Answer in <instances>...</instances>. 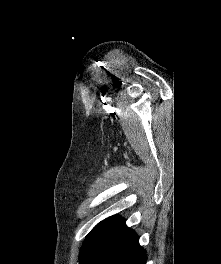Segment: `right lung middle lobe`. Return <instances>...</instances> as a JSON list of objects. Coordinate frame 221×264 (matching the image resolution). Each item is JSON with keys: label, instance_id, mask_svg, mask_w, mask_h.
Wrapping results in <instances>:
<instances>
[{"label": "right lung middle lobe", "instance_id": "1", "mask_svg": "<svg viewBox=\"0 0 221 264\" xmlns=\"http://www.w3.org/2000/svg\"><path fill=\"white\" fill-rule=\"evenodd\" d=\"M100 224H98L97 226L94 227V229L87 235L86 239H85V242L82 246V249H81V253L86 249V247L88 246L90 240L92 239V237L95 235L97 229L99 228Z\"/></svg>", "mask_w": 221, "mask_h": 264}]
</instances>
